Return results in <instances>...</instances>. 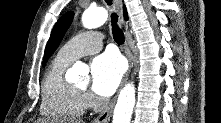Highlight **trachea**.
Instances as JSON below:
<instances>
[{
  "label": "trachea",
  "instance_id": "obj_1",
  "mask_svg": "<svg viewBox=\"0 0 221 123\" xmlns=\"http://www.w3.org/2000/svg\"><path fill=\"white\" fill-rule=\"evenodd\" d=\"M106 3L110 6L112 5L111 0H106ZM117 22H118V16L115 12H113L111 14L113 38L117 44H123L124 43V34H123V31L119 28Z\"/></svg>",
  "mask_w": 221,
  "mask_h": 123
}]
</instances>
